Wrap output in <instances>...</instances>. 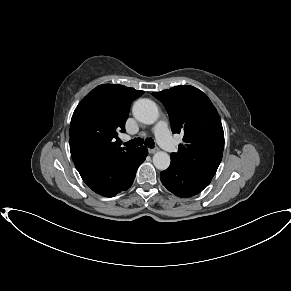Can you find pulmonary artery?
<instances>
[{
    "label": "pulmonary artery",
    "instance_id": "obj_1",
    "mask_svg": "<svg viewBox=\"0 0 291 291\" xmlns=\"http://www.w3.org/2000/svg\"><path fill=\"white\" fill-rule=\"evenodd\" d=\"M153 131L157 138L158 143L164 150H166L167 152L176 151L177 146L175 141L170 135L167 122L159 121L154 126Z\"/></svg>",
    "mask_w": 291,
    "mask_h": 291
}]
</instances>
